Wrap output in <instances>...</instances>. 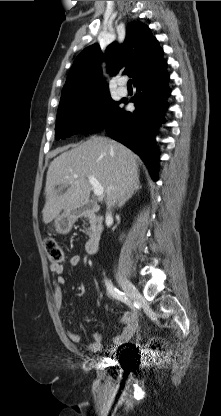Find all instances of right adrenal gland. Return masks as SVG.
<instances>
[{"mask_svg": "<svg viewBox=\"0 0 221 416\" xmlns=\"http://www.w3.org/2000/svg\"><path fill=\"white\" fill-rule=\"evenodd\" d=\"M133 193H134V192L129 193V194H128V196L126 197V199L124 200V202H125V201H127L129 198H131V197H132V195H133Z\"/></svg>", "mask_w": 221, "mask_h": 416, "instance_id": "2a0ac1e0", "label": "right adrenal gland"}]
</instances>
